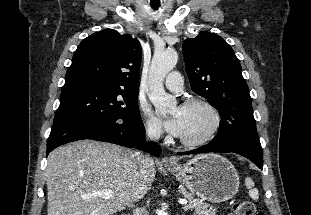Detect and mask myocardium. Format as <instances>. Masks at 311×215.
I'll return each mask as SVG.
<instances>
[{
  "label": "myocardium",
  "mask_w": 311,
  "mask_h": 215,
  "mask_svg": "<svg viewBox=\"0 0 311 215\" xmlns=\"http://www.w3.org/2000/svg\"><path fill=\"white\" fill-rule=\"evenodd\" d=\"M194 106H200V107L205 108L211 114L212 124L209 130L207 131V133L199 139H196V140H187L183 138L179 139L182 145L186 147H191V148L201 147L205 145L206 143H208L216 135L221 124V115L219 111L209 101L205 99H201V98H191V99L185 100L181 104V107H194Z\"/></svg>",
  "instance_id": "f54148a6"
}]
</instances>
